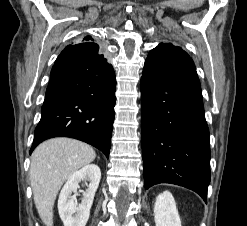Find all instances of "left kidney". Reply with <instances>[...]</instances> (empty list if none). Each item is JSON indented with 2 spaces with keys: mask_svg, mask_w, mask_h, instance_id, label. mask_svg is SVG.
<instances>
[{
  "mask_svg": "<svg viewBox=\"0 0 247 226\" xmlns=\"http://www.w3.org/2000/svg\"><path fill=\"white\" fill-rule=\"evenodd\" d=\"M154 219L156 226H181L174 197L169 191H164L156 197Z\"/></svg>",
  "mask_w": 247,
  "mask_h": 226,
  "instance_id": "obj_1",
  "label": "left kidney"
}]
</instances>
